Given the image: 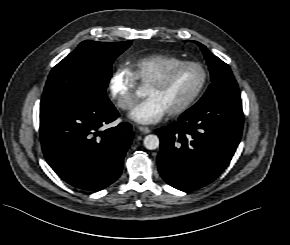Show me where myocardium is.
Instances as JSON below:
<instances>
[{
    "instance_id": "myocardium-1",
    "label": "myocardium",
    "mask_w": 290,
    "mask_h": 245,
    "mask_svg": "<svg viewBox=\"0 0 290 245\" xmlns=\"http://www.w3.org/2000/svg\"><path fill=\"white\" fill-rule=\"evenodd\" d=\"M184 67H197V68H199L203 74L202 82H201L200 86L198 87V89L193 93V95L185 103H183L181 106L167 112V114L169 116H177V115H181V114L185 113L200 98V96L202 95V93L204 92V90L208 84V72H207L206 68L201 63H198V62L182 61V62H179V63H176L174 65L167 67L166 69L161 71L159 74H157L153 79H151L147 83V86H161L169 79V77L171 76V74L173 72H175L181 68H184Z\"/></svg>"
}]
</instances>
